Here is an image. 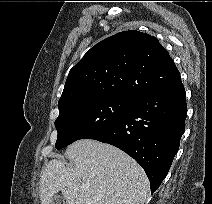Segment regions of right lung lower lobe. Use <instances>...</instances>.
<instances>
[{
	"label": "right lung lower lobe",
	"mask_w": 212,
	"mask_h": 204,
	"mask_svg": "<svg viewBox=\"0 0 212 204\" xmlns=\"http://www.w3.org/2000/svg\"><path fill=\"white\" fill-rule=\"evenodd\" d=\"M185 98V89L179 80L135 99L119 122L88 139L111 144L134 158L145 170L154 193L179 149L187 115Z\"/></svg>",
	"instance_id": "98d812e1"
}]
</instances>
